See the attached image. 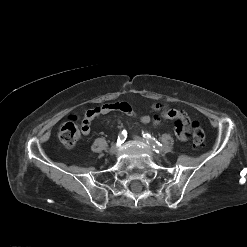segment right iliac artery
Masks as SVG:
<instances>
[{
    "label": "right iliac artery",
    "instance_id": "right-iliac-artery-1",
    "mask_svg": "<svg viewBox=\"0 0 247 247\" xmlns=\"http://www.w3.org/2000/svg\"><path fill=\"white\" fill-rule=\"evenodd\" d=\"M127 138V132L125 130L121 131L118 135L117 145L122 144Z\"/></svg>",
    "mask_w": 247,
    "mask_h": 247
}]
</instances>
